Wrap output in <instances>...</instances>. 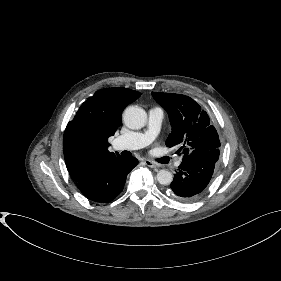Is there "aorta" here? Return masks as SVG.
Masks as SVG:
<instances>
[{"label": "aorta", "instance_id": "1", "mask_svg": "<svg viewBox=\"0 0 281 281\" xmlns=\"http://www.w3.org/2000/svg\"><path fill=\"white\" fill-rule=\"evenodd\" d=\"M123 121L130 129H141L146 124L147 114L138 106H130L123 113ZM156 178L161 185H169L173 181L172 173L165 169L158 171Z\"/></svg>", "mask_w": 281, "mask_h": 281}]
</instances>
